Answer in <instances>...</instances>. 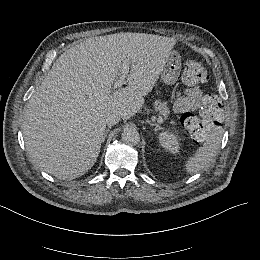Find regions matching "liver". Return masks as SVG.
<instances>
[{
	"mask_svg": "<svg viewBox=\"0 0 260 260\" xmlns=\"http://www.w3.org/2000/svg\"><path fill=\"white\" fill-rule=\"evenodd\" d=\"M174 38L119 33L88 38L68 49L29 99L22 121L35 167L76 179L96 163L111 112L129 120L142 108L176 45ZM128 66V86L115 88Z\"/></svg>",
	"mask_w": 260,
	"mask_h": 260,
	"instance_id": "obj_1",
	"label": "liver"
}]
</instances>
